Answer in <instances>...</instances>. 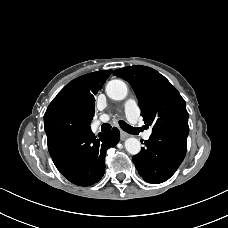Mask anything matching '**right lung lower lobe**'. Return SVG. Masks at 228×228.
I'll list each match as a JSON object with an SVG mask.
<instances>
[{"label": "right lung lower lobe", "instance_id": "obj_1", "mask_svg": "<svg viewBox=\"0 0 228 228\" xmlns=\"http://www.w3.org/2000/svg\"><path fill=\"white\" fill-rule=\"evenodd\" d=\"M120 140L113 128L95 136L91 129L67 135L48 144L49 153L60 173L70 182L89 186L98 182L105 172V155Z\"/></svg>", "mask_w": 228, "mask_h": 228}]
</instances>
